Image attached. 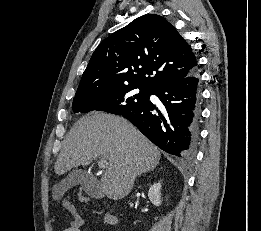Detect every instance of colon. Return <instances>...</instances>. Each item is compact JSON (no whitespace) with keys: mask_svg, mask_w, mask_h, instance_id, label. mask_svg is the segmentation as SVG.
<instances>
[{"mask_svg":"<svg viewBox=\"0 0 261 231\" xmlns=\"http://www.w3.org/2000/svg\"><path fill=\"white\" fill-rule=\"evenodd\" d=\"M88 199L87 198H84V201H87Z\"/></svg>","mask_w":261,"mask_h":231,"instance_id":"obj_1","label":"colon"}]
</instances>
